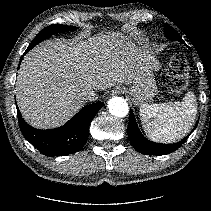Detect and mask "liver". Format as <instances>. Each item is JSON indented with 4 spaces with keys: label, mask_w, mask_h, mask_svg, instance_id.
<instances>
[{
    "label": "liver",
    "mask_w": 211,
    "mask_h": 211,
    "mask_svg": "<svg viewBox=\"0 0 211 211\" xmlns=\"http://www.w3.org/2000/svg\"><path fill=\"white\" fill-rule=\"evenodd\" d=\"M127 44L113 32L71 43L45 41L33 48L21 63L15 87L23 118L37 128L58 127L85 104V91L133 83L151 51Z\"/></svg>",
    "instance_id": "obj_1"
}]
</instances>
